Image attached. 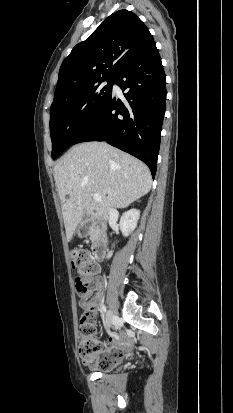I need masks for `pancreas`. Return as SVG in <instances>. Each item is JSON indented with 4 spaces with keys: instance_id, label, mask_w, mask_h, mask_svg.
Wrapping results in <instances>:
<instances>
[{
    "instance_id": "pancreas-1",
    "label": "pancreas",
    "mask_w": 233,
    "mask_h": 413,
    "mask_svg": "<svg viewBox=\"0 0 233 413\" xmlns=\"http://www.w3.org/2000/svg\"><path fill=\"white\" fill-rule=\"evenodd\" d=\"M90 240H91L92 242H94V241L96 240V232H95L94 230H92V231L90 232Z\"/></svg>"
}]
</instances>
